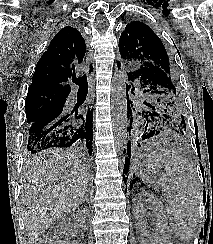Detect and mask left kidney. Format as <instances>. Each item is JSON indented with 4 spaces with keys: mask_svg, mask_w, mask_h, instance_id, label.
Returning <instances> with one entry per match:
<instances>
[{
    "mask_svg": "<svg viewBox=\"0 0 213 244\" xmlns=\"http://www.w3.org/2000/svg\"><path fill=\"white\" fill-rule=\"evenodd\" d=\"M146 209L154 216L156 235L151 237L146 230ZM133 215L140 231L141 244H172L169 227L165 222L161 204L150 194L140 193L134 198Z\"/></svg>",
    "mask_w": 213,
    "mask_h": 244,
    "instance_id": "5707ae66",
    "label": "left kidney"
}]
</instances>
